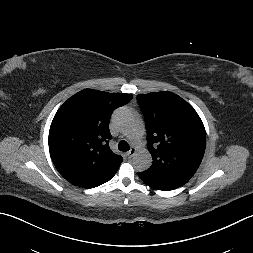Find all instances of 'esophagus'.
Returning <instances> with one entry per match:
<instances>
[{"label": "esophagus", "instance_id": "1", "mask_svg": "<svg viewBox=\"0 0 253 253\" xmlns=\"http://www.w3.org/2000/svg\"><path fill=\"white\" fill-rule=\"evenodd\" d=\"M135 152H136V149L133 147V148H131L128 152H127V156L129 157V158H131L134 154H135Z\"/></svg>", "mask_w": 253, "mask_h": 253}]
</instances>
